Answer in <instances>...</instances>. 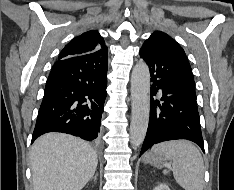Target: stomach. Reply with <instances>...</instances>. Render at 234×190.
<instances>
[{
    "label": "stomach",
    "mask_w": 234,
    "mask_h": 190,
    "mask_svg": "<svg viewBox=\"0 0 234 190\" xmlns=\"http://www.w3.org/2000/svg\"><path fill=\"white\" fill-rule=\"evenodd\" d=\"M144 162L160 167L166 160L165 155L162 153L149 152L144 156Z\"/></svg>",
    "instance_id": "obj_1"
}]
</instances>
